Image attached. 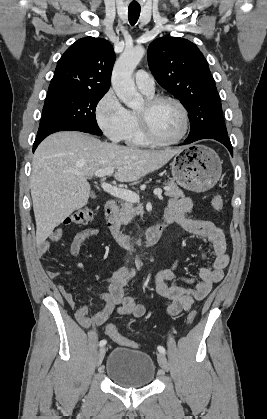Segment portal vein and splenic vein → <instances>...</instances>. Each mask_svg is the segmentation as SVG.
<instances>
[{
	"label": "portal vein and splenic vein",
	"instance_id": "portal-vein-and-splenic-vein-1",
	"mask_svg": "<svg viewBox=\"0 0 267 419\" xmlns=\"http://www.w3.org/2000/svg\"><path fill=\"white\" fill-rule=\"evenodd\" d=\"M113 173H114V168L109 167V168H104V169L98 170L95 173V176L99 177L100 179H103L105 176L111 175ZM101 187L103 188V190L105 192L109 193L110 195H112L116 198H120V199H123V200L131 202V203H137V202L140 201L139 195L136 194L133 191L118 188V187L113 186L111 184H108L106 182H102ZM153 193L156 196H161L162 190L160 188H157L153 191Z\"/></svg>",
	"mask_w": 267,
	"mask_h": 419
}]
</instances>
